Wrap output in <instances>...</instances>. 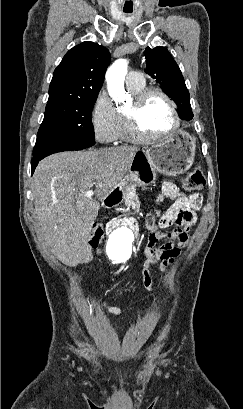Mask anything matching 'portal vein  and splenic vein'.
Wrapping results in <instances>:
<instances>
[{"label": "portal vein and splenic vein", "instance_id": "18ae733b", "mask_svg": "<svg viewBox=\"0 0 243 409\" xmlns=\"http://www.w3.org/2000/svg\"><path fill=\"white\" fill-rule=\"evenodd\" d=\"M93 194H94L93 190H88V191L85 193V196L88 197V198H92Z\"/></svg>", "mask_w": 243, "mask_h": 409}]
</instances>
